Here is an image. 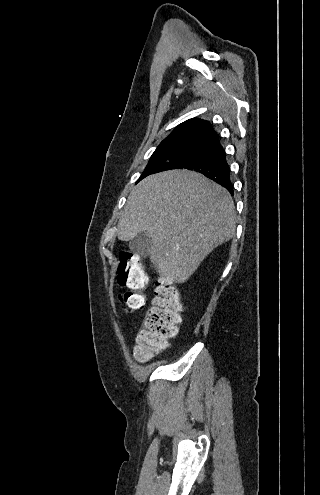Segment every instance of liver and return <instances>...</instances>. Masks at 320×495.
<instances>
[{
  "mask_svg": "<svg viewBox=\"0 0 320 495\" xmlns=\"http://www.w3.org/2000/svg\"><path fill=\"white\" fill-rule=\"evenodd\" d=\"M236 212L229 192L189 170L153 174L134 187L118 225V238L147 231L157 272L184 283L217 246L231 239Z\"/></svg>",
  "mask_w": 320,
  "mask_h": 495,
  "instance_id": "6515ba94",
  "label": "liver"
}]
</instances>
